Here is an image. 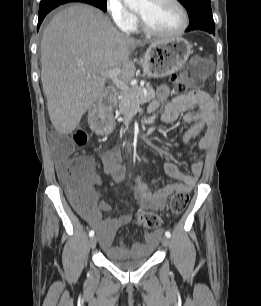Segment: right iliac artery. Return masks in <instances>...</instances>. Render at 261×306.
Masks as SVG:
<instances>
[{
    "mask_svg": "<svg viewBox=\"0 0 261 306\" xmlns=\"http://www.w3.org/2000/svg\"><path fill=\"white\" fill-rule=\"evenodd\" d=\"M89 236H90V237L94 236V230H91V231L89 232Z\"/></svg>",
    "mask_w": 261,
    "mask_h": 306,
    "instance_id": "right-iliac-artery-1",
    "label": "right iliac artery"
}]
</instances>
